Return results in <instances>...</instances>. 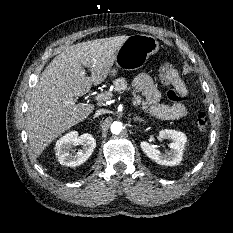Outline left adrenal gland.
<instances>
[{"mask_svg":"<svg viewBox=\"0 0 233 233\" xmlns=\"http://www.w3.org/2000/svg\"><path fill=\"white\" fill-rule=\"evenodd\" d=\"M134 121H139L140 123H144L145 121L142 118H135Z\"/></svg>","mask_w":233,"mask_h":233,"instance_id":"obj_1","label":"left adrenal gland"}]
</instances>
